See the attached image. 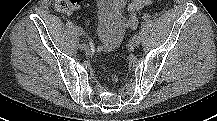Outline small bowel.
Masks as SVG:
<instances>
[{"instance_id":"small-bowel-1","label":"small bowel","mask_w":217,"mask_h":121,"mask_svg":"<svg viewBox=\"0 0 217 121\" xmlns=\"http://www.w3.org/2000/svg\"><path fill=\"white\" fill-rule=\"evenodd\" d=\"M151 2L152 0H98V50L107 52L117 47L127 29L137 28V13ZM125 9L127 15L124 14Z\"/></svg>"}]
</instances>
